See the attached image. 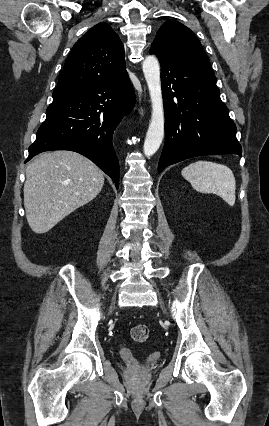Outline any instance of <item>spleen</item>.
Wrapping results in <instances>:
<instances>
[{
  "label": "spleen",
  "instance_id": "spleen-1",
  "mask_svg": "<svg viewBox=\"0 0 269 426\" xmlns=\"http://www.w3.org/2000/svg\"><path fill=\"white\" fill-rule=\"evenodd\" d=\"M182 176L201 193H213L234 206L236 181L232 170L222 164L198 161L182 170Z\"/></svg>",
  "mask_w": 269,
  "mask_h": 426
}]
</instances>
